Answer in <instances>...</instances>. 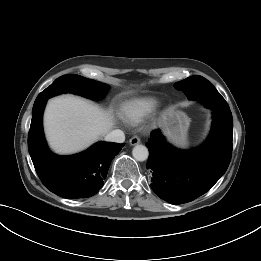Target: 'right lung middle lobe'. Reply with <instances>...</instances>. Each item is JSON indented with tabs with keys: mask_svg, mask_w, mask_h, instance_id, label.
Returning <instances> with one entry per match:
<instances>
[{
	"mask_svg": "<svg viewBox=\"0 0 261 261\" xmlns=\"http://www.w3.org/2000/svg\"><path fill=\"white\" fill-rule=\"evenodd\" d=\"M108 87L107 84L86 79L79 75H63L41 92L34 104L44 98L67 92L97 100L105 95Z\"/></svg>",
	"mask_w": 261,
	"mask_h": 261,
	"instance_id": "1",
	"label": "right lung middle lobe"
}]
</instances>
